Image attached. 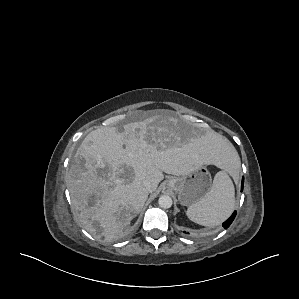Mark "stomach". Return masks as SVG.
Wrapping results in <instances>:
<instances>
[{
    "instance_id": "stomach-1",
    "label": "stomach",
    "mask_w": 299,
    "mask_h": 299,
    "mask_svg": "<svg viewBox=\"0 0 299 299\" xmlns=\"http://www.w3.org/2000/svg\"><path fill=\"white\" fill-rule=\"evenodd\" d=\"M167 187L178 194L181 205L191 206L208 194L212 179L207 167L201 166L189 174L169 177Z\"/></svg>"
}]
</instances>
